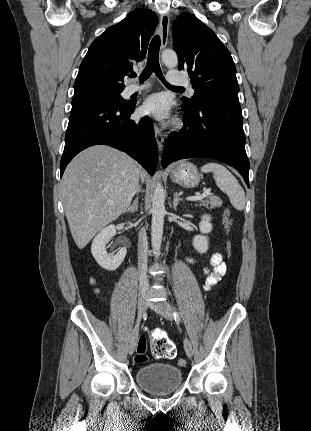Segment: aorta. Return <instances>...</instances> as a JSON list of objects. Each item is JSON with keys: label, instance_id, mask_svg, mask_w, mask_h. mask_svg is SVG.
Wrapping results in <instances>:
<instances>
[{"label": "aorta", "instance_id": "aorta-1", "mask_svg": "<svg viewBox=\"0 0 311 431\" xmlns=\"http://www.w3.org/2000/svg\"><path fill=\"white\" fill-rule=\"evenodd\" d=\"M162 62L167 68H176L178 64L177 54L173 50H164L162 52ZM152 221H151V243L153 251L158 257L161 249L164 216H165V194L161 182H157L152 198Z\"/></svg>", "mask_w": 311, "mask_h": 431}]
</instances>
